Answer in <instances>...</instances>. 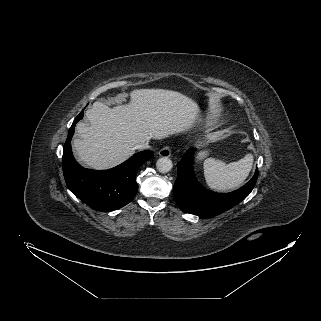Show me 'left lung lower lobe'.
Listing matches in <instances>:
<instances>
[{
	"label": "left lung lower lobe",
	"instance_id": "1",
	"mask_svg": "<svg viewBox=\"0 0 321 321\" xmlns=\"http://www.w3.org/2000/svg\"><path fill=\"white\" fill-rule=\"evenodd\" d=\"M194 148L186 152V156L177 164L178 175L174 184V197L181 211L199 217H214L236 206L244 200L254 188L258 169L254 176L240 189L220 194L202 187L193 173Z\"/></svg>",
	"mask_w": 321,
	"mask_h": 321
}]
</instances>
